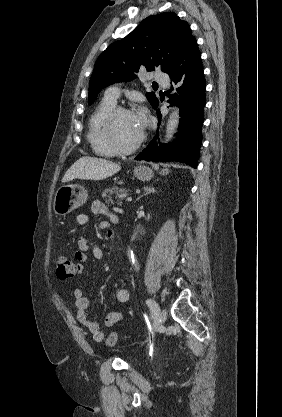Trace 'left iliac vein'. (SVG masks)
Wrapping results in <instances>:
<instances>
[{
	"mask_svg": "<svg viewBox=\"0 0 282 417\" xmlns=\"http://www.w3.org/2000/svg\"><path fill=\"white\" fill-rule=\"evenodd\" d=\"M166 318H167V311H166V309L163 308V309L159 310V312L157 314L156 323L158 325H161L165 322Z\"/></svg>",
	"mask_w": 282,
	"mask_h": 417,
	"instance_id": "left-iliac-vein-1",
	"label": "left iliac vein"
}]
</instances>
